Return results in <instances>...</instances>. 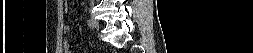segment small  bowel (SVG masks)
I'll return each mask as SVG.
<instances>
[{
	"label": "small bowel",
	"mask_w": 253,
	"mask_h": 53,
	"mask_svg": "<svg viewBox=\"0 0 253 53\" xmlns=\"http://www.w3.org/2000/svg\"><path fill=\"white\" fill-rule=\"evenodd\" d=\"M63 31H64V33L69 32V26H67V25H66V26H64V27H63Z\"/></svg>",
	"instance_id": "small-bowel-1"
}]
</instances>
